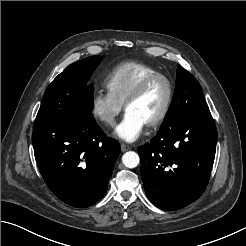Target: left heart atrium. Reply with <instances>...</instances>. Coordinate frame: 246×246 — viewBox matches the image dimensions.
<instances>
[{"mask_svg": "<svg viewBox=\"0 0 246 246\" xmlns=\"http://www.w3.org/2000/svg\"><path fill=\"white\" fill-rule=\"evenodd\" d=\"M146 123L137 114L126 111L122 121L115 129V135L127 142H134L142 134Z\"/></svg>", "mask_w": 246, "mask_h": 246, "instance_id": "39dd6f15", "label": "left heart atrium"}]
</instances>
